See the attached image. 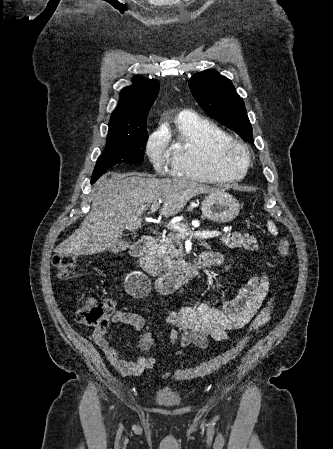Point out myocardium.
Here are the masks:
<instances>
[{
	"label": "myocardium",
	"mask_w": 333,
	"mask_h": 449,
	"mask_svg": "<svg viewBox=\"0 0 333 449\" xmlns=\"http://www.w3.org/2000/svg\"><path fill=\"white\" fill-rule=\"evenodd\" d=\"M217 159L219 165L224 169H239L251 162V151L249 147L234 138L219 144L217 148Z\"/></svg>",
	"instance_id": "myocardium-1"
}]
</instances>
